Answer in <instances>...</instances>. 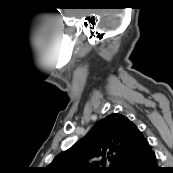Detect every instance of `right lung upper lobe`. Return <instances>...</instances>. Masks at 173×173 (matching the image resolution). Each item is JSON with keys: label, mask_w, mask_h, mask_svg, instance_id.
Instances as JSON below:
<instances>
[{"label": "right lung upper lobe", "mask_w": 173, "mask_h": 173, "mask_svg": "<svg viewBox=\"0 0 173 173\" xmlns=\"http://www.w3.org/2000/svg\"><path fill=\"white\" fill-rule=\"evenodd\" d=\"M148 146L142 132L128 118L110 114L57 155L46 167V173H117L126 160ZM106 158L113 159L107 168L103 167Z\"/></svg>", "instance_id": "1"}]
</instances>
